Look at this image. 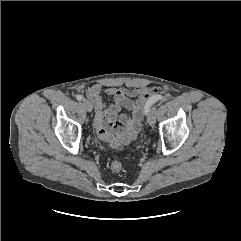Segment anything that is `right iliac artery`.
<instances>
[{
  "label": "right iliac artery",
  "mask_w": 241,
  "mask_h": 241,
  "mask_svg": "<svg viewBox=\"0 0 241 241\" xmlns=\"http://www.w3.org/2000/svg\"><path fill=\"white\" fill-rule=\"evenodd\" d=\"M76 99L81 101L83 99V96L82 95H77Z\"/></svg>",
  "instance_id": "right-iliac-artery-1"
}]
</instances>
